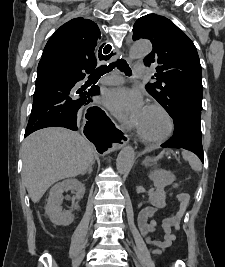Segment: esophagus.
Masks as SVG:
<instances>
[{
	"instance_id": "obj_1",
	"label": "esophagus",
	"mask_w": 225,
	"mask_h": 267,
	"mask_svg": "<svg viewBox=\"0 0 225 267\" xmlns=\"http://www.w3.org/2000/svg\"><path fill=\"white\" fill-rule=\"evenodd\" d=\"M126 57V54L124 53V51H120V52H115V54L113 55L112 59L116 60L119 57ZM129 142V136L125 133L122 134V139L119 141V143H117L116 148H121L124 145H126Z\"/></svg>"
}]
</instances>
